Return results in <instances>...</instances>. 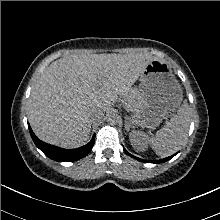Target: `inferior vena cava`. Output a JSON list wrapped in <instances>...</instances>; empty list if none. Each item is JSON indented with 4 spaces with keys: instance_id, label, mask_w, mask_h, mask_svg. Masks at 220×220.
Wrapping results in <instances>:
<instances>
[{
    "instance_id": "1",
    "label": "inferior vena cava",
    "mask_w": 220,
    "mask_h": 220,
    "mask_svg": "<svg viewBox=\"0 0 220 220\" xmlns=\"http://www.w3.org/2000/svg\"><path fill=\"white\" fill-rule=\"evenodd\" d=\"M103 115H104L103 111H101L99 109L93 110L91 112V120L98 121L103 117Z\"/></svg>"
}]
</instances>
